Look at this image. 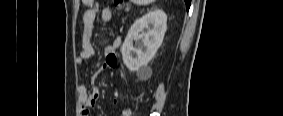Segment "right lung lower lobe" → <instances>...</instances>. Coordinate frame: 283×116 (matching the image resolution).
Returning a JSON list of instances; mask_svg holds the SVG:
<instances>
[{"label": "right lung lower lobe", "mask_w": 283, "mask_h": 116, "mask_svg": "<svg viewBox=\"0 0 283 116\" xmlns=\"http://www.w3.org/2000/svg\"><path fill=\"white\" fill-rule=\"evenodd\" d=\"M185 3H186V8H187V10H189L191 0H185Z\"/></svg>", "instance_id": "98d812e1"}]
</instances>
